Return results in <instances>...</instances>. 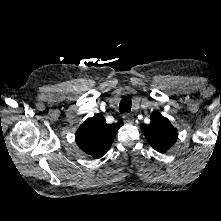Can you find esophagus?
<instances>
[{"label": "esophagus", "instance_id": "1", "mask_svg": "<svg viewBox=\"0 0 221 221\" xmlns=\"http://www.w3.org/2000/svg\"><path fill=\"white\" fill-rule=\"evenodd\" d=\"M123 119L126 124H132L134 122V116L130 113H125Z\"/></svg>", "mask_w": 221, "mask_h": 221}]
</instances>
